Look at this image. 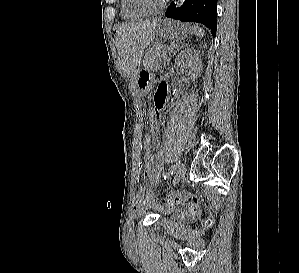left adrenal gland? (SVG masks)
<instances>
[{
	"label": "left adrenal gland",
	"mask_w": 299,
	"mask_h": 273,
	"mask_svg": "<svg viewBox=\"0 0 299 273\" xmlns=\"http://www.w3.org/2000/svg\"><path fill=\"white\" fill-rule=\"evenodd\" d=\"M182 39H184L183 37H182ZM180 44H181V41H180ZM178 50V45H176V48H175V50H174V52H173V55L172 56H174L175 55V53H176V51ZM171 56V57H172ZM169 62H170V59L168 60V64H169Z\"/></svg>",
	"instance_id": "a2214340"
}]
</instances>
